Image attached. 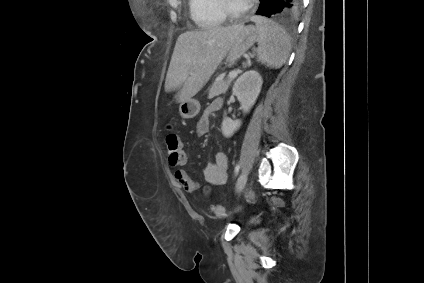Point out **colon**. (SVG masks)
Listing matches in <instances>:
<instances>
[{"label":"colon","mask_w":424,"mask_h":283,"mask_svg":"<svg viewBox=\"0 0 424 283\" xmlns=\"http://www.w3.org/2000/svg\"><path fill=\"white\" fill-rule=\"evenodd\" d=\"M166 146H167L168 152L174 151V150H180V148L182 147V142L176 133L169 130V132L166 135ZM173 154L175 155V157H173L171 160L173 164L182 160V159H178L177 152H173ZM211 210L218 218H225L228 216V212L226 211V209L220 205H212Z\"/></svg>","instance_id":"colon-1"}]
</instances>
